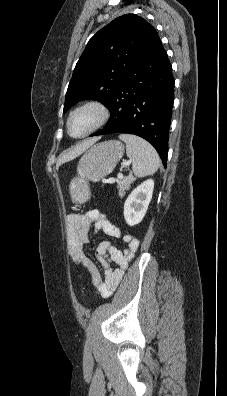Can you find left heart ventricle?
Masks as SVG:
<instances>
[{"label": "left heart ventricle", "instance_id": "left-heart-ventricle-1", "mask_svg": "<svg viewBox=\"0 0 227 396\" xmlns=\"http://www.w3.org/2000/svg\"><path fill=\"white\" fill-rule=\"evenodd\" d=\"M96 115L92 111H84L74 115L70 121V132L79 136L86 132L94 123Z\"/></svg>", "mask_w": 227, "mask_h": 396}]
</instances>
